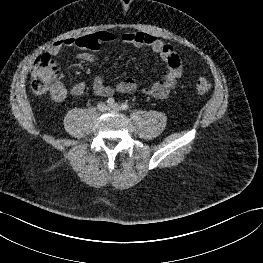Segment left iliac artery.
Segmentation results:
<instances>
[{
  "instance_id": "obj_1",
  "label": "left iliac artery",
  "mask_w": 263,
  "mask_h": 263,
  "mask_svg": "<svg viewBox=\"0 0 263 263\" xmlns=\"http://www.w3.org/2000/svg\"><path fill=\"white\" fill-rule=\"evenodd\" d=\"M121 108H122V110H127L128 109V104L127 103H123L121 105Z\"/></svg>"
}]
</instances>
